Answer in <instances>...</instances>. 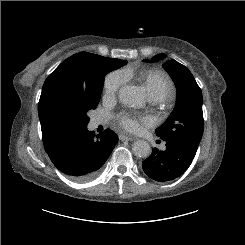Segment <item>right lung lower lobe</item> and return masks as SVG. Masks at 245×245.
Here are the masks:
<instances>
[{
	"instance_id": "98d812e1",
	"label": "right lung lower lobe",
	"mask_w": 245,
	"mask_h": 245,
	"mask_svg": "<svg viewBox=\"0 0 245 245\" xmlns=\"http://www.w3.org/2000/svg\"><path fill=\"white\" fill-rule=\"evenodd\" d=\"M117 142L109 129L95 135L84 128L65 135L46 152L60 171L76 181H87L99 173Z\"/></svg>"
}]
</instances>
